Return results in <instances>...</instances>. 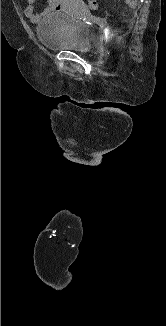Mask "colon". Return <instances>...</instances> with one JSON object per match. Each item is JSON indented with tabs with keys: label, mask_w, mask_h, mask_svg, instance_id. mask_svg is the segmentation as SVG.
<instances>
[{
	"label": "colon",
	"mask_w": 166,
	"mask_h": 326,
	"mask_svg": "<svg viewBox=\"0 0 166 326\" xmlns=\"http://www.w3.org/2000/svg\"><path fill=\"white\" fill-rule=\"evenodd\" d=\"M88 5L90 8L95 9L97 7V2L96 0H90Z\"/></svg>",
	"instance_id": "5ec220e1"
}]
</instances>
